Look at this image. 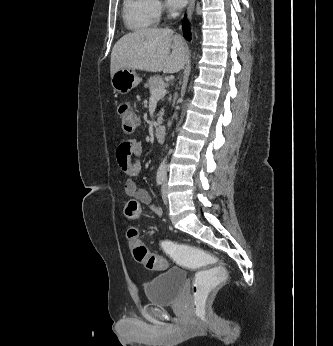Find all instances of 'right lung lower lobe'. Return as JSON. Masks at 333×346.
Returning <instances> with one entry per match:
<instances>
[{
    "label": "right lung lower lobe",
    "instance_id": "98d812e1",
    "mask_svg": "<svg viewBox=\"0 0 333 346\" xmlns=\"http://www.w3.org/2000/svg\"><path fill=\"white\" fill-rule=\"evenodd\" d=\"M183 33H184V37L190 41L191 40L190 28H189V22L187 21L186 17L183 20Z\"/></svg>",
    "mask_w": 333,
    "mask_h": 346
}]
</instances>
